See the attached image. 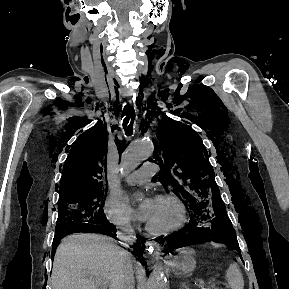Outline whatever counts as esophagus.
<instances>
[{
  "instance_id": "1",
  "label": "esophagus",
  "mask_w": 289,
  "mask_h": 289,
  "mask_svg": "<svg viewBox=\"0 0 289 289\" xmlns=\"http://www.w3.org/2000/svg\"><path fill=\"white\" fill-rule=\"evenodd\" d=\"M145 245L148 252L153 256L157 257L160 254V245L156 241L147 240Z\"/></svg>"
}]
</instances>
